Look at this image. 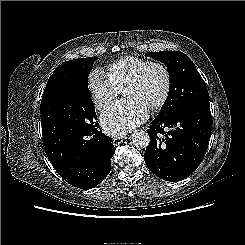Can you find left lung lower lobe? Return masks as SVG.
Segmentation results:
<instances>
[{"mask_svg": "<svg viewBox=\"0 0 245 245\" xmlns=\"http://www.w3.org/2000/svg\"><path fill=\"white\" fill-rule=\"evenodd\" d=\"M170 129L165 132L164 129ZM212 128L209 101L194 102L169 119L155 118L147 130L144 153L148 169L166 181L192 174L207 151Z\"/></svg>", "mask_w": 245, "mask_h": 245, "instance_id": "0a47b994", "label": "left lung lower lobe"}]
</instances>
